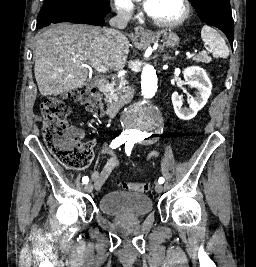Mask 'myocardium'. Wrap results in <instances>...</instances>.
Instances as JSON below:
<instances>
[{"label":"myocardium","instance_id":"obj_1","mask_svg":"<svg viewBox=\"0 0 256 267\" xmlns=\"http://www.w3.org/2000/svg\"><path fill=\"white\" fill-rule=\"evenodd\" d=\"M171 3L178 6L181 10V15L174 21L163 25L162 27L174 28L182 24L189 17V6L184 0H171Z\"/></svg>","mask_w":256,"mask_h":267}]
</instances>
